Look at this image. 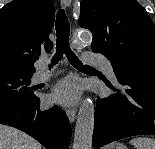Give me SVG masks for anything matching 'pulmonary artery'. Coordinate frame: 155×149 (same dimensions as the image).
<instances>
[{"mask_svg": "<svg viewBox=\"0 0 155 149\" xmlns=\"http://www.w3.org/2000/svg\"><path fill=\"white\" fill-rule=\"evenodd\" d=\"M83 57L84 64L99 66L112 80H116L112 65L106 58L98 56L92 52H86ZM43 63L46 64L47 60L43 59ZM52 75L53 72L41 69L34 74V81L36 83H41L50 79Z\"/></svg>", "mask_w": 155, "mask_h": 149, "instance_id": "obj_1", "label": "pulmonary artery"}]
</instances>
